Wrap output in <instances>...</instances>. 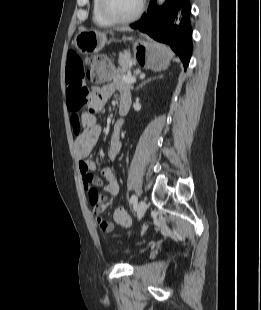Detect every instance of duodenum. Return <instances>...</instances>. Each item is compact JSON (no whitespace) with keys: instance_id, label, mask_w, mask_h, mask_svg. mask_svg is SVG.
<instances>
[{"instance_id":"duodenum-1","label":"duodenum","mask_w":261,"mask_h":310,"mask_svg":"<svg viewBox=\"0 0 261 310\" xmlns=\"http://www.w3.org/2000/svg\"><path fill=\"white\" fill-rule=\"evenodd\" d=\"M131 100L129 96H121L119 103V112L124 115L130 108Z\"/></svg>"}]
</instances>
